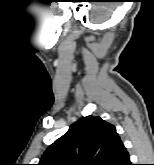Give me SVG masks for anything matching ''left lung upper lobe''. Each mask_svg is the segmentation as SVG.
<instances>
[{"instance_id":"obj_1","label":"left lung upper lobe","mask_w":154,"mask_h":165,"mask_svg":"<svg viewBox=\"0 0 154 165\" xmlns=\"http://www.w3.org/2000/svg\"><path fill=\"white\" fill-rule=\"evenodd\" d=\"M123 146L112 124L87 116L50 145L38 165H115Z\"/></svg>"}]
</instances>
